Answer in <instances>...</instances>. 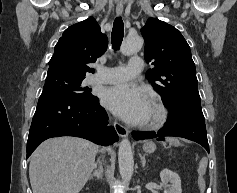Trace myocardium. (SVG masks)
I'll return each mask as SVG.
<instances>
[{
  "instance_id": "myocardium-1",
  "label": "myocardium",
  "mask_w": 237,
  "mask_h": 193,
  "mask_svg": "<svg viewBox=\"0 0 237 193\" xmlns=\"http://www.w3.org/2000/svg\"><path fill=\"white\" fill-rule=\"evenodd\" d=\"M150 102L153 104V106L156 109V116L154 119L146 122H141L140 127L143 129H159L165 125V123L168 120L169 113L166 108V106L163 104V102L156 98L153 97L151 98Z\"/></svg>"
}]
</instances>
